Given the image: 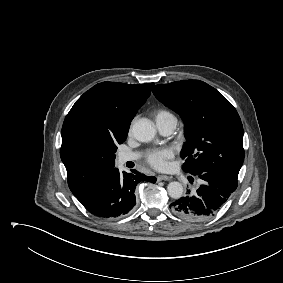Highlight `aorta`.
Here are the masks:
<instances>
[{
	"mask_svg": "<svg viewBox=\"0 0 283 283\" xmlns=\"http://www.w3.org/2000/svg\"><path fill=\"white\" fill-rule=\"evenodd\" d=\"M131 131L134 138L140 142H149L156 135L153 123L146 118L136 120L132 125ZM167 191L171 198L179 199L183 194V186L181 183L173 181L168 184Z\"/></svg>",
	"mask_w": 283,
	"mask_h": 283,
	"instance_id": "obj_1",
	"label": "aorta"
}]
</instances>
